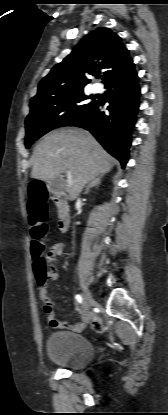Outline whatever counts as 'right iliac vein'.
<instances>
[{"mask_svg":"<svg viewBox=\"0 0 168 415\" xmlns=\"http://www.w3.org/2000/svg\"><path fill=\"white\" fill-rule=\"evenodd\" d=\"M83 300H84V305H83L82 318L84 321H86L89 318V310L91 306L93 305V298H92L91 292L88 289H85L83 292Z\"/></svg>","mask_w":168,"mask_h":415,"instance_id":"obj_1","label":"right iliac vein"}]
</instances>
